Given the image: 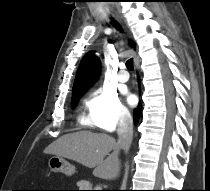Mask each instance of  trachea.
I'll return each mask as SVG.
<instances>
[{"label":"trachea","instance_id":"trachea-1","mask_svg":"<svg viewBox=\"0 0 210 191\" xmlns=\"http://www.w3.org/2000/svg\"><path fill=\"white\" fill-rule=\"evenodd\" d=\"M118 26V25H117ZM119 27V26H118ZM120 28V27H119ZM126 67L129 69V70H133L134 69V66H133V59H129L126 61Z\"/></svg>","mask_w":210,"mask_h":191}]
</instances>
